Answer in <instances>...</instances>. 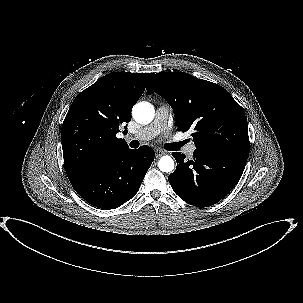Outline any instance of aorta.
I'll return each mask as SVG.
<instances>
[{"instance_id":"1","label":"aorta","mask_w":303,"mask_h":303,"mask_svg":"<svg viewBox=\"0 0 303 303\" xmlns=\"http://www.w3.org/2000/svg\"><path fill=\"white\" fill-rule=\"evenodd\" d=\"M132 115L137 123L146 125L154 119L155 110L149 102H139L133 107ZM158 167L162 172H171L174 169V161L168 155L162 156L158 162Z\"/></svg>"}]
</instances>
